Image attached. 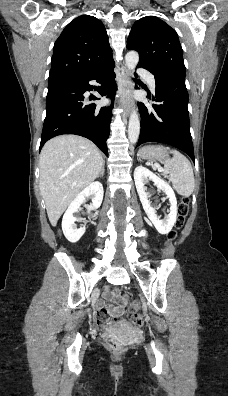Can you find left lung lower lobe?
<instances>
[{
	"label": "left lung lower lobe",
	"instance_id": "left-lung-lower-lobe-1",
	"mask_svg": "<svg viewBox=\"0 0 228 396\" xmlns=\"http://www.w3.org/2000/svg\"><path fill=\"white\" fill-rule=\"evenodd\" d=\"M155 80L152 100L156 103L152 104V109L138 102L143 119L137 146L146 142L166 143L182 150L194 161L185 80L173 77Z\"/></svg>",
	"mask_w": 228,
	"mask_h": 396
}]
</instances>
